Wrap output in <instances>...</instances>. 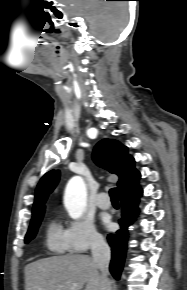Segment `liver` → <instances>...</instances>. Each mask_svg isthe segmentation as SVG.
Here are the masks:
<instances>
[{
    "label": "liver",
    "instance_id": "liver-1",
    "mask_svg": "<svg viewBox=\"0 0 187 290\" xmlns=\"http://www.w3.org/2000/svg\"><path fill=\"white\" fill-rule=\"evenodd\" d=\"M84 285L85 290H112V281L87 255L48 257L25 267V290H82Z\"/></svg>",
    "mask_w": 187,
    "mask_h": 290
}]
</instances>
